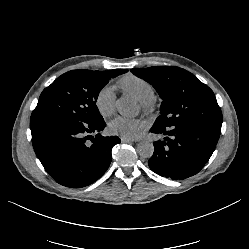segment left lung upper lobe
I'll return each instance as SVG.
<instances>
[{"mask_svg":"<svg viewBox=\"0 0 249 249\" xmlns=\"http://www.w3.org/2000/svg\"><path fill=\"white\" fill-rule=\"evenodd\" d=\"M149 82L162 98L155 125L170 127L182 122L222 123V112L213 91L192 73L175 66L131 69Z\"/></svg>","mask_w":249,"mask_h":249,"instance_id":"5c2ea615","label":"left lung upper lobe"}]
</instances>
